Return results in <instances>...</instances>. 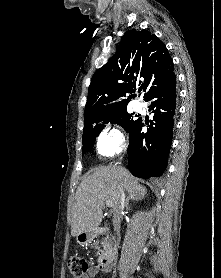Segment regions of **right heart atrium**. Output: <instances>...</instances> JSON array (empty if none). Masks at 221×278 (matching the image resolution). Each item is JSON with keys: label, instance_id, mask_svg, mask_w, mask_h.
<instances>
[{"label": "right heart atrium", "instance_id": "d8ad5b80", "mask_svg": "<svg viewBox=\"0 0 221 278\" xmlns=\"http://www.w3.org/2000/svg\"><path fill=\"white\" fill-rule=\"evenodd\" d=\"M126 139L115 125H107L102 129L96 140V150L100 156L112 157L123 151Z\"/></svg>", "mask_w": 221, "mask_h": 278}]
</instances>
